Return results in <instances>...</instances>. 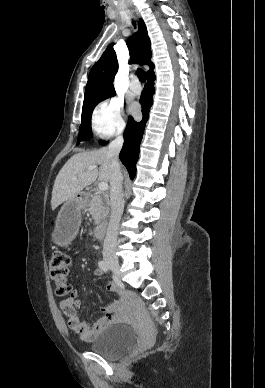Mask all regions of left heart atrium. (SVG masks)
<instances>
[{
    "label": "left heart atrium",
    "instance_id": "obj_1",
    "mask_svg": "<svg viewBox=\"0 0 265 388\" xmlns=\"http://www.w3.org/2000/svg\"><path fill=\"white\" fill-rule=\"evenodd\" d=\"M132 111H133L134 113L137 112V106H136V105H133V106H132Z\"/></svg>",
    "mask_w": 265,
    "mask_h": 388
}]
</instances>
